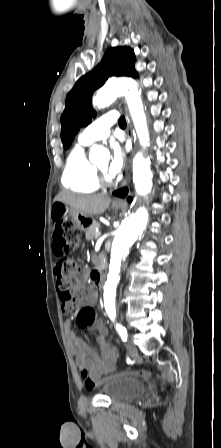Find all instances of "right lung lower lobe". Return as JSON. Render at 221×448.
Instances as JSON below:
<instances>
[{"mask_svg":"<svg viewBox=\"0 0 221 448\" xmlns=\"http://www.w3.org/2000/svg\"><path fill=\"white\" fill-rule=\"evenodd\" d=\"M128 201H131V198H128Z\"/></svg>","mask_w":221,"mask_h":448,"instance_id":"right-lung-lower-lobe-1","label":"right lung lower lobe"}]
</instances>
